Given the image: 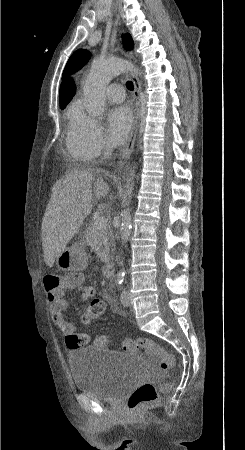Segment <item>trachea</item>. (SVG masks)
Returning a JSON list of instances; mask_svg holds the SVG:
<instances>
[{"label": "trachea", "instance_id": "trachea-1", "mask_svg": "<svg viewBox=\"0 0 245 450\" xmlns=\"http://www.w3.org/2000/svg\"><path fill=\"white\" fill-rule=\"evenodd\" d=\"M127 87H128V89H129L130 91H133V90H134L133 82L128 81V82H127Z\"/></svg>", "mask_w": 245, "mask_h": 450}]
</instances>
